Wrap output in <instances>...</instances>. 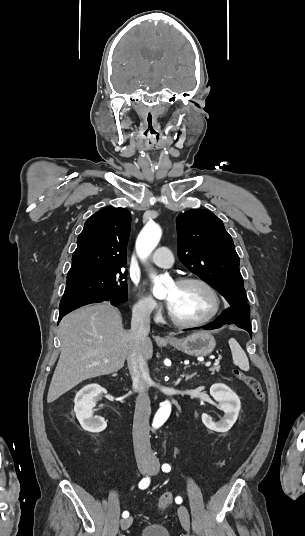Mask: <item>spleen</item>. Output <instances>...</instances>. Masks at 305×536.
I'll return each instance as SVG.
<instances>
[{"instance_id": "1", "label": "spleen", "mask_w": 305, "mask_h": 536, "mask_svg": "<svg viewBox=\"0 0 305 536\" xmlns=\"http://www.w3.org/2000/svg\"><path fill=\"white\" fill-rule=\"evenodd\" d=\"M229 346L233 358V362L235 366H239L240 370H244V372H248L249 370V362L248 358L242 350L240 344L234 340V338H230L229 340Z\"/></svg>"}]
</instances>
